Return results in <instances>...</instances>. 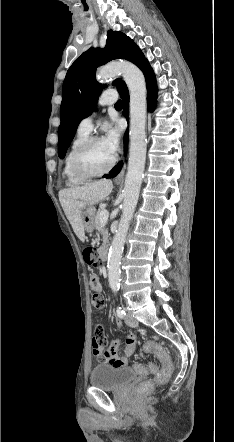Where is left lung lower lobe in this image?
I'll return each mask as SVG.
<instances>
[{"instance_id":"left-lung-lower-lobe-1","label":"left lung lower lobe","mask_w":234,"mask_h":442,"mask_svg":"<svg viewBox=\"0 0 234 442\" xmlns=\"http://www.w3.org/2000/svg\"><path fill=\"white\" fill-rule=\"evenodd\" d=\"M140 69L143 71L145 79H146V86H147V101H148V108L150 111H153L156 105V94H157V87H156V78L154 75V72L146 59ZM120 96L124 101V109H123V115L129 120V92L128 88L125 85L121 87L119 90ZM127 142H128V131H126L125 137H124V148L126 150L127 148ZM123 165V161H121L117 166L113 168V170L106 176L105 178H113L115 177L121 170V167Z\"/></svg>"}]
</instances>
